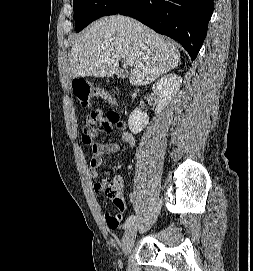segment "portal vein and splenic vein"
<instances>
[{"instance_id": "18ae733b", "label": "portal vein and splenic vein", "mask_w": 253, "mask_h": 271, "mask_svg": "<svg viewBox=\"0 0 253 271\" xmlns=\"http://www.w3.org/2000/svg\"><path fill=\"white\" fill-rule=\"evenodd\" d=\"M126 64L129 65V66H132L133 65V62L129 59H126L125 60Z\"/></svg>"}]
</instances>
